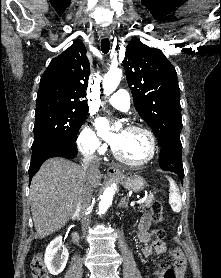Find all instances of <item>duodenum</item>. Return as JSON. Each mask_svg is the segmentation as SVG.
Wrapping results in <instances>:
<instances>
[{
	"label": "duodenum",
	"instance_id": "obj_1",
	"mask_svg": "<svg viewBox=\"0 0 221 278\" xmlns=\"http://www.w3.org/2000/svg\"><path fill=\"white\" fill-rule=\"evenodd\" d=\"M74 239L76 240V235H74Z\"/></svg>",
	"mask_w": 221,
	"mask_h": 278
}]
</instances>
